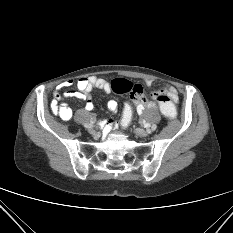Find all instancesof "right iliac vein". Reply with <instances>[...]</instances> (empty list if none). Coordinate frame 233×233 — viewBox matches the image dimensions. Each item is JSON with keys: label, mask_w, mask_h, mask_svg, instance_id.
<instances>
[{"label": "right iliac vein", "mask_w": 233, "mask_h": 233, "mask_svg": "<svg viewBox=\"0 0 233 233\" xmlns=\"http://www.w3.org/2000/svg\"><path fill=\"white\" fill-rule=\"evenodd\" d=\"M88 132L93 136H98L99 135V132L94 128H89Z\"/></svg>", "instance_id": "1"}]
</instances>
